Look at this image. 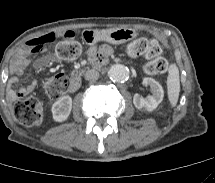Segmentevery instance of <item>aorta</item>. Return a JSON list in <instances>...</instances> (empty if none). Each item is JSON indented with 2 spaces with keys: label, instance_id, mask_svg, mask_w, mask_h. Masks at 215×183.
<instances>
[{
  "label": "aorta",
  "instance_id": "762f6f07",
  "mask_svg": "<svg viewBox=\"0 0 215 183\" xmlns=\"http://www.w3.org/2000/svg\"><path fill=\"white\" fill-rule=\"evenodd\" d=\"M129 68L123 64H114L108 69V76L116 82H123L129 78Z\"/></svg>",
  "mask_w": 215,
  "mask_h": 183
}]
</instances>
